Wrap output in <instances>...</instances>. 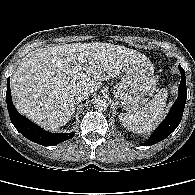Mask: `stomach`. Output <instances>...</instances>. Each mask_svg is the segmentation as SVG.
<instances>
[{
    "label": "stomach",
    "mask_w": 195,
    "mask_h": 195,
    "mask_svg": "<svg viewBox=\"0 0 195 195\" xmlns=\"http://www.w3.org/2000/svg\"><path fill=\"white\" fill-rule=\"evenodd\" d=\"M157 81L154 66L147 57L133 63L115 90L122 109L133 112L141 108L155 93Z\"/></svg>",
    "instance_id": "1"
}]
</instances>
